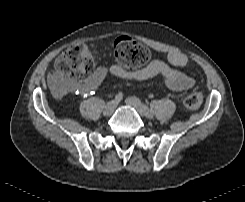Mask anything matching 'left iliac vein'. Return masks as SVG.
Segmentation results:
<instances>
[{
  "mask_svg": "<svg viewBox=\"0 0 245 202\" xmlns=\"http://www.w3.org/2000/svg\"><path fill=\"white\" fill-rule=\"evenodd\" d=\"M126 103L136 109V111L139 113L140 116H145L144 109H143V104L142 102L136 98V97H128L126 99Z\"/></svg>",
  "mask_w": 245,
  "mask_h": 202,
  "instance_id": "4c4485c4",
  "label": "left iliac vein"
}]
</instances>
